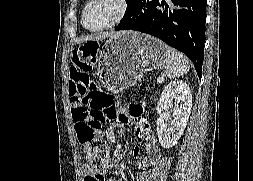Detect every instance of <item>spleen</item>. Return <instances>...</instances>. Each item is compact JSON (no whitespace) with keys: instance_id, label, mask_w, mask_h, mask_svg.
I'll return each mask as SVG.
<instances>
[{"instance_id":"spleen-1","label":"spleen","mask_w":253,"mask_h":181,"mask_svg":"<svg viewBox=\"0 0 253 181\" xmlns=\"http://www.w3.org/2000/svg\"><path fill=\"white\" fill-rule=\"evenodd\" d=\"M165 62V73L170 79L183 76L190 68L187 58L169 46H166Z\"/></svg>"}]
</instances>
